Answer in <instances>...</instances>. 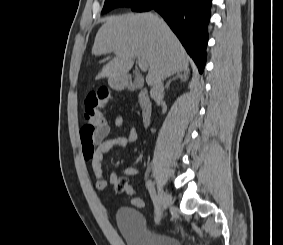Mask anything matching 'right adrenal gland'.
Wrapping results in <instances>:
<instances>
[{
	"label": "right adrenal gland",
	"mask_w": 283,
	"mask_h": 245,
	"mask_svg": "<svg viewBox=\"0 0 283 245\" xmlns=\"http://www.w3.org/2000/svg\"><path fill=\"white\" fill-rule=\"evenodd\" d=\"M188 77H189V71H182V72H178V73H176V75L172 78V79H170L168 82H167V84H166V86H165V89H169V86H170V84L172 83V81H174V80H176V79H180L181 81H187L188 80Z\"/></svg>",
	"instance_id": "right-adrenal-gland-1"
}]
</instances>
